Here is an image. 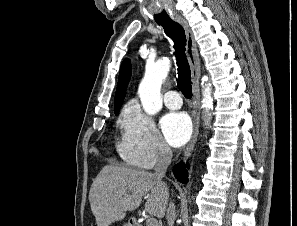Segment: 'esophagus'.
Wrapping results in <instances>:
<instances>
[{
  "label": "esophagus",
  "instance_id": "obj_1",
  "mask_svg": "<svg viewBox=\"0 0 297 226\" xmlns=\"http://www.w3.org/2000/svg\"><path fill=\"white\" fill-rule=\"evenodd\" d=\"M175 21L178 22L184 29L186 35V54L188 57V61L191 68L192 75V88H193V134L186 146L184 152V160L188 159L194 146L196 144L198 134H199V126H200V60L199 54L196 46V42L193 36V33L187 23V21L182 17H176Z\"/></svg>",
  "mask_w": 297,
  "mask_h": 226
}]
</instances>
